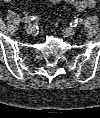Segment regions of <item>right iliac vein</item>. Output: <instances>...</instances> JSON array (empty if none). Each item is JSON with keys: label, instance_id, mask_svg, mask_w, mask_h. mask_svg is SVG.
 Wrapping results in <instances>:
<instances>
[{"label": "right iliac vein", "instance_id": "1", "mask_svg": "<svg viewBox=\"0 0 100 118\" xmlns=\"http://www.w3.org/2000/svg\"><path fill=\"white\" fill-rule=\"evenodd\" d=\"M25 30L28 34H32L34 32V27L32 25H28L25 27Z\"/></svg>", "mask_w": 100, "mask_h": 118}]
</instances>
